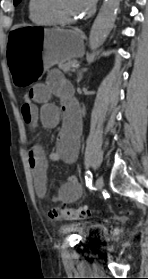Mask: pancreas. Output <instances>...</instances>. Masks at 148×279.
<instances>
[{"mask_svg":"<svg viewBox=\"0 0 148 279\" xmlns=\"http://www.w3.org/2000/svg\"><path fill=\"white\" fill-rule=\"evenodd\" d=\"M76 64L74 59H65L59 62V68L62 69L65 73H69L70 68Z\"/></svg>","mask_w":148,"mask_h":279,"instance_id":"cf45deb5","label":"pancreas"}]
</instances>
